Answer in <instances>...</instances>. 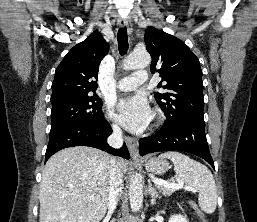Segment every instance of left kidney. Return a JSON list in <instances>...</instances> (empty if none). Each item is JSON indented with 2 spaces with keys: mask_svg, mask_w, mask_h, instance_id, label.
I'll list each match as a JSON object with an SVG mask.
<instances>
[{
  "mask_svg": "<svg viewBox=\"0 0 257 222\" xmlns=\"http://www.w3.org/2000/svg\"><path fill=\"white\" fill-rule=\"evenodd\" d=\"M169 222H188V220L183 215L178 214L172 215L169 219Z\"/></svg>",
  "mask_w": 257,
  "mask_h": 222,
  "instance_id": "left-kidney-1",
  "label": "left kidney"
}]
</instances>
